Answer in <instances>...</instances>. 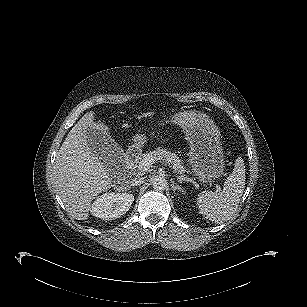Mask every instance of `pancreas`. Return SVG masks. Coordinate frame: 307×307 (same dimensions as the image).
<instances>
[{
    "label": "pancreas",
    "instance_id": "obj_1",
    "mask_svg": "<svg viewBox=\"0 0 307 307\" xmlns=\"http://www.w3.org/2000/svg\"><path fill=\"white\" fill-rule=\"evenodd\" d=\"M142 158H152L157 161L166 162L172 166L175 172L181 174L186 172V166L182 160L176 154L166 151L161 147H158L156 150L142 155Z\"/></svg>",
    "mask_w": 307,
    "mask_h": 307
}]
</instances>
